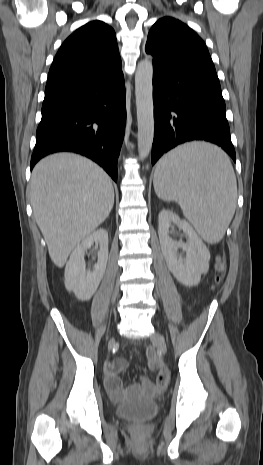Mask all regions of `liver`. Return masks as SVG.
<instances>
[{
    "label": "liver",
    "mask_w": 263,
    "mask_h": 465,
    "mask_svg": "<svg viewBox=\"0 0 263 465\" xmlns=\"http://www.w3.org/2000/svg\"><path fill=\"white\" fill-rule=\"evenodd\" d=\"M30 196L49 256L60 268L80 242L104 222L114 204L108 174L73 153H56L37 163Z\"/></svg>",
    "instance_id": "liver-1"
}]
</instances>
